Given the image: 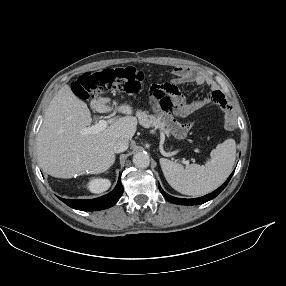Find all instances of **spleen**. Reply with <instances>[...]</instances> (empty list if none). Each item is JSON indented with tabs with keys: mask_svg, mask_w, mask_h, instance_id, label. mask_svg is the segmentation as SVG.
Masks as SVG:
<instances>
[{
	"mask_svg": "<svg viewBox=\"0 0 286 286\" xmlns=\"http://www.w3.org/2000/svg\"><path fill=\"white\" fill-rule=\"evenodd\" d=\"M236 145L233 139L218 144L205 164L183 165L161 158L163 174L172 188L181 194L201 196L218 188L231 173L235 162Z\"/></svg>",
	"mask_w": 286,
	"mask_h": 286,
	"instance_id": "spleen-1",
	"label": "spleen"
}]
</instances>
